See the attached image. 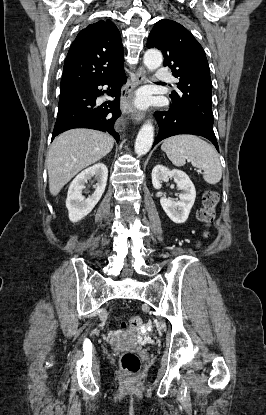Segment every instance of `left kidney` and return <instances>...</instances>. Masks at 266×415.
Here are the masks:
<instances>
[{
  "label": "left kidney",
  "mask_w": 266,
  "mask_h": 415,
  "mask_svg": "<svg viewBox=\"0 0 266 415\" xmlns=\"http://www.w3.org/2000/svg\"><path fill=\"white\" fill-rule=\"evenodd\" d=\"M172 177L177 184L178 190L182 193L179 195L180 201L174 202L161 194L160 204L167 214V216L175 223H184L190 213V210L195 202L196 190L188 177V175L177 169L169 170L162 165H156L152 170V184L153 187L159 190L162 187V182L167 181Z\"/></svg>",
  "instance_id": "left-kidney-1"
}]
</instances>
